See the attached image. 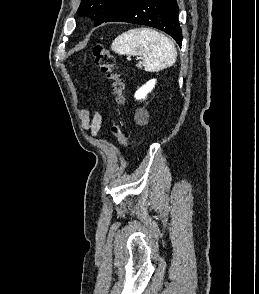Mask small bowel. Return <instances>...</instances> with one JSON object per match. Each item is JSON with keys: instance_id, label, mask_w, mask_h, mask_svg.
<instances>
[{"instance_id": "small-bowel-1", "label": "small bowel", "mask_w": 259, "mask_h": 294, "mask_svg": "<svg viewBox=\"0 0 259 294\" xmlns=\"http://www.w3.org/2000/svg\"><path fill=\"white\" fill-rule=\"evenodd\" d=\"M79 118L82 127L89 131L92 136L98 134L104 120V116L99 111H95L93 115H91L89 110L85 108L80 109Z\"/></svg>"}]
</instances>
